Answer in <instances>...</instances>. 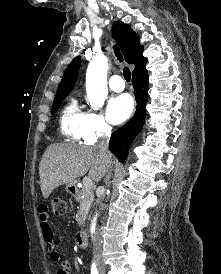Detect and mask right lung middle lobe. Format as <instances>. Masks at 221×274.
I'll return each mask as SVG.
<instances>
[{
	"label": "right lung middle lobe",
	"mask_w": 221,
	"mask_h": 274,
	"mask_svg": "<svg viewBox=\"0 0 221 274\" xmlns=\"http://www.w3.org/2000/svg\"><path fill=\"white\" fill-rule=\"evenodd\" d=\"M67 95L68 94H63V95L56 96L54 98L53 107H52V114H54L58 110L59 106L61 105L62 100H64Z\"/></svg>",
	"instance_id": "1"
}]
</instances>
